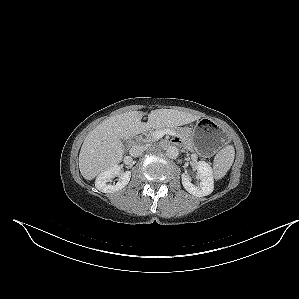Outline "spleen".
Listing matches in <instances>:
<instances>
[{"instance_id":"obj_1","label":"spleen","mask_w":299,"mask_h":299,"mask_svg":"<svg viewBox=\"0 0 299 299\" xmlns=\"http://www.w3.org/2000/svg\"><path fill=\"white\" fill-rule=\"evenodd\" d=\"M235 150L232 145L225 146L214 157L213 169L215 179H222L234 162Z\"/></svg>"}]
</instances>
